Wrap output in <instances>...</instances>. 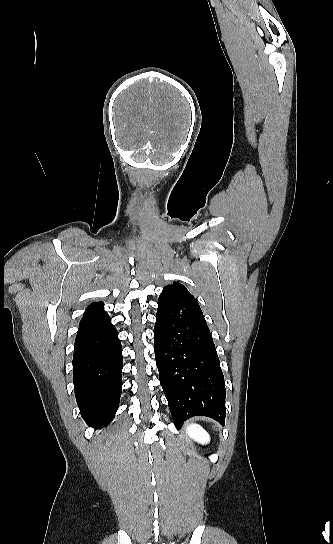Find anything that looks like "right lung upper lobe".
<instances>
[{"mask_svg": "<svg viewBox=\"0 0 333 544\" xmlns=\"http://www.w3.org/2000/svg\"><path fill=\"white\" fill-rule=\"evenodd\" d=\"M104 303L103 302H93L91 303L84 313V316L80 323H84L87 321H90L96 317L102 316L107 314L104 310Z\"/></svg>", "mask_w": 333, "mask_h": 544, "instance_id": "obj_1", "label": "right lung upper lobe"}]
</instances>
